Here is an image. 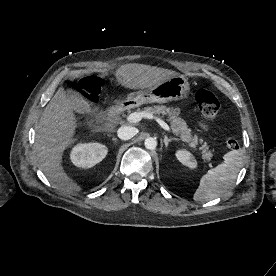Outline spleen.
Listing matches in <instances>:
<instances>
[{
	"label": "spleen",
	"instance_id": "3e777b00",
	"mask_svg": "<svg viewBox=\"0 0 276 276\" xmlns=\"http://www.w3.org/2000/svg\"><path fill=\"white\" fill-rule=\"evenodd\" d=\"M224 162L208 170L194 193L196 202H207L225 193L234 183L243 164V152L232 150L223 156Z\"/></svg>",
	"mask_w": 276,
	"mask_h": 276
}]
</instances>
